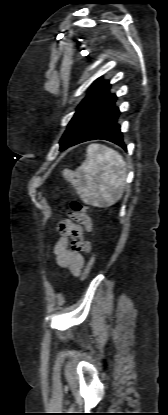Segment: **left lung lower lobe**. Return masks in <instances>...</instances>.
I'll return each instance as SVG.
<instances>
[{
	"label": "left lung lower lobe",
	"instance_id": "left-lung-lower-lobe-1",
	"mask_svg": "<svg viewBox=\"0 0 168 415\" xmlns=\"http://www.w3.org/2000/svg\"><path fill=\"white\" fill-rule=\"evenodd\" d=\"M116 98L109 103L91 122L88 128L75 141L74 145L96 139L108 140L126 150L120 125L117 123L120 111L115 105Z\"/></svg>",
	"mask_w": 168,
	"mask_h": 415
}]
</instances>
